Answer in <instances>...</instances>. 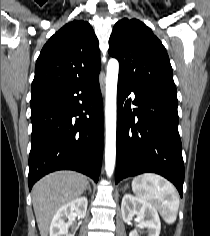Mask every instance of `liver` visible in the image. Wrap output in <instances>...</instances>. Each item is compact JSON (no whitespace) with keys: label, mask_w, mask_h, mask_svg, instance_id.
Returning <instances> with one entry per match:
<instances>
[{"label":"liver","mask_w":210,"mask_h":236,"mask_svg":"<svg viewBox=\"0 0 210 236\" xmlns=\"http://www.w3.org/2000/svg\"><path fill=\"white\" fill-rule=\"evenodd\" d=\"M87 177L74 171H57L40 179L32 189V203L41 236H48L56 211L86 190Z\"/></svg>","instance_id":"obj_1"}]
</instances>
